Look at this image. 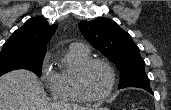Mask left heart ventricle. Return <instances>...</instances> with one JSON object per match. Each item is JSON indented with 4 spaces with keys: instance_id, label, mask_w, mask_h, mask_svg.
Masks as SVG:
<instances>
[{
    "instance_id": "left-heart-ventricle-1",
    "label": "left heart ventricle",
    "mask_w": 171,
    "mask_h": 110,
    "mask_svg": "<svg viewBox=\"0 0 171 110\" xmlns=\"http://www.w3.org/2000/svg\"><path fill=\"white\" fill-rule=\"evenodd\" d=\"M84 85L87 91L94 96L104 93L110 85V74L100 64L92 65L85 74Z\"/></svg>"
}]
</instances>
